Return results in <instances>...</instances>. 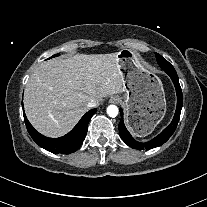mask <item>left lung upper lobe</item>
I'll return each instance as SVG.
<instances>
[{
    "label": "left lung upper lobe",
    "instance_id": "5c2ea615",
    "mask_svg": "<svg viewBox=\"0 0 207 207\" xmlns=\"http://www.w3.org/2000/svg\"><path fill=\"white\" fill-rule=\"evenodd\" d=\"M156 55V59H157V62L158 64L160 65V67L162 69H165L166 67H173L167 60H165L161 55L159 54H155Z\"/></svg>",
    "mask_w": 207,
    "mask_h": 207
}]
</instances>
